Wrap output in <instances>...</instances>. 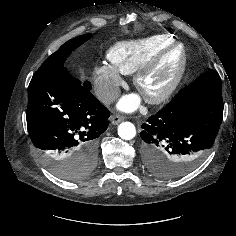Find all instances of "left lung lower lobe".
I'll list each match as a JSON object with an SVG mask.
<instances>
[{
    "instance_id": "0a47b994",
    "label": "left lung lower lobe",
    "mask_w": 236,
    "mask_h": 236,
    "mask_svg": "<svg viewBox=\"0 0 236 236\" xmlns=\"http://www.w3.org/2000/svg\"><path fill=\"white\" fill-rule=\"evenodd\" d=\"M221 79L208 70L142 124L146 167L173 177L198 164L214 144L223 117Z\"/></svg>"
}]
</instances>
